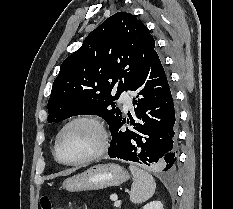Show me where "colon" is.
Masks as SVG:
<instances>
[{
  "instance_id": "obj_1",
  "label": "colon",
  "mask_w": 233,
  "mask_h": 209,
  "mask_svg": "<svg viewBox=\"0 0 233 209\" xmlns=\"http://www.w3.org/2000/svg\"><path fill=\"white\" fill-rule=\"evenodd\" d=\"M41 209H55L52 200L49 196L44 195L40 199Z\"/></svg>"
}]
</instances>
